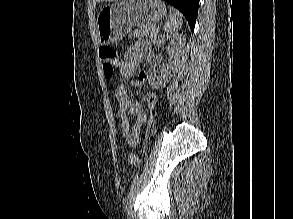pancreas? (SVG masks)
Returning <instances> with one entry per match:
<instances>
[{"mask_svg": "<svg viewBox=\"0 0 293 219\" xmlns=\"http://www.w3.org/2000/svg\"><path fill=\"white\" fill-rule=\"evenodd\" d=\"M159 32V28L156 24H148L139 27L130 34L131 37H149L152 41L155 39Z\"/></svg>", "mask_w": 293, "mask_h": 219, "instance_id": "obj_1", "label": "pancreas"}]
</instances>
